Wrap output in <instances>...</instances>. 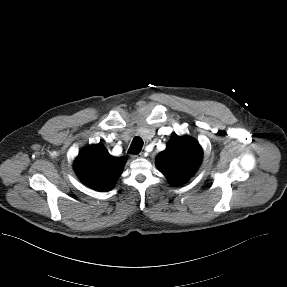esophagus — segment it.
<instances>
[{
  "label": "esophagus",
  "instance_id": "34e87169",
  "mask_svg": "<svg viewBox=\"0 0 287 287\" xmlns=\"http://www.w3.org/2000/svg\"><path fill=\"white\" fill-rule=\"evenodd\" d=\"M142 157H143L142 153L133 155V158H142Z\"/></svg>",
  "mask_w": 287,
  "mask_h": 287
}]
</instances>
